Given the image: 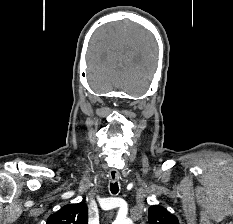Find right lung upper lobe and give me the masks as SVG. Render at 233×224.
I'll return each instance as SVG.
<instances>
[{
    "label": "right lung upper lobe",
    "mask_w": 233,
    "mask_h": 224,
    "mask_svg": "<svg viewBox=\"0 0 233 224\" xmlns=\"http://www.w3.org/2000/svg\"><path fill=\"white\" fill-rule=\"evenodd\" d=\"M46 224H88V208L85 203H77L62 207L51 214Z\"/></svg>",
    "instance_id": "1"
}]
</instances>
